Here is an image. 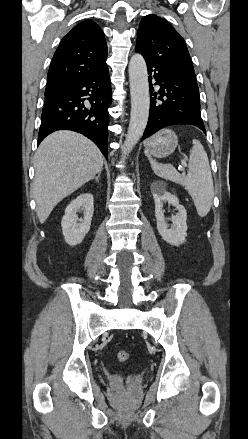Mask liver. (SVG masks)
Here are the masks:
<instances>
[{
  "instance_id": "6515ba94",
  "label": "liver",
  "mask_w": 248,
  "mask_h": 439,
  "mask_svg": "<svg viewBox=\"0 0 248 439\" xmlns=\"http://www.w3.org/2000/svg\"><path fill=\"white\" fill-rule=\"evenodd\" d=\"M103 163L98 147L79 133L57 131L47 136L34 157L32 192L40 223L61 200L93 179Z\"/></svg>"
}]
</instances>
